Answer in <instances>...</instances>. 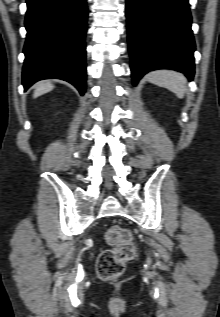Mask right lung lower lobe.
<instances>
[{"instance_id": "right-lung-lower-lobe-1", "label": "right lung lower lobe", "mask_w": 220, "mask_h": 317, "mask_svg": "<svg viewBox=\"0 0 220 317\" xmlns=\"http://www.w3.org/2000/svg\"><path fill=\"white\" fill-rule=\"evenodd\" d=\"M23 85L62 79L86 87V0H27Z\"/></svg>"}]
</instances>
